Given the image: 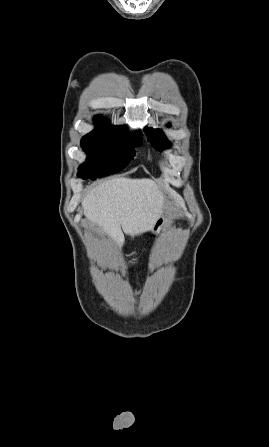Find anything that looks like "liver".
<instances>
[{
	"instance_id": "obj_1",
	"label": "liver",
	"mask_w": 269,
	"mask_h": 447,
	"mask_svg": "<svg viewBox=\"0 0 269 447\" xmlns=\"http://www.w3.org/2000/svg\"><path fill=\"white\" fill-rule=\"evenodd\" d=\"M84 216L112 237L119 247L124 233L149 231L163 214L164 194L153 180L114 178L93 188L82 200ZM123 231H122V229Z\"/></svg>"
}]
</instances>
